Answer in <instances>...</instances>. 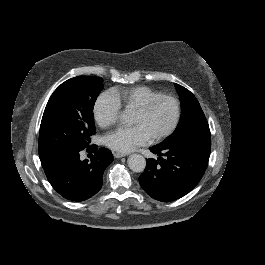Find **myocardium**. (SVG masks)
<instances>
[{"instance_id":"obj_1","label":"myocardium","mask_w":265,"mask_h":265,"mask_svg":"<svg viewBox=\"0 0 265 265\" xmlns=\"http://www.w3.org/2000/svg\"><path fill=\"white\" fill-rule=\"evenodd\" d=\"M160 100H166L172 103L174 107V117L168 127L152 138L151 143H157L169 136L177 127L181 116V104L179 100L168 94H157L149 98L136 110V112L139 114H146L152 109L154 104Z\"/></svg>"}]
</instances>
